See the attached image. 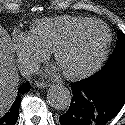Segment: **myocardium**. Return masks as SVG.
I'll return each mask as SVG.
<instances>
[{
	"instance_id": "obj_1",
	"label": "myocardium",
	"mask_w": 125,
	"mask_h": 125,
	"mask_svg": "<svg viewBox=\"0 0 125 125\" xmlns=\"http://www.w3.org/2000/svg\"><path fill=\"white\" fill-rule=\"evenodd\" d=\"M94 24L101 25L104 28L105 33H106V40H105V44L102 49V52L100 53L99 57L96 59V61L94 63H92L90 66L86 67L83 70H80V71L74 72V73H69V72L63 71V74L67 79L79 80V79H83V78H86V77L92 75L93 73L98 71L103 66V64L105 63V61L108 58L109 51H110L111 44H112V33H111L110 28L108 27V25L106 23H104L101 20L88 19V20L84 21L83 23H80L79 25L72 28L68 33H66L63 37H61L55 43V45L53 46V49H52L53 59L57 63L61 50L65 46H67L81 30H83L84 28H86L88 26L94 25Z\"/></svg>"
}]
</instances>
